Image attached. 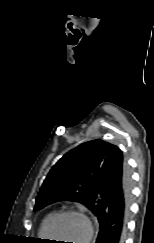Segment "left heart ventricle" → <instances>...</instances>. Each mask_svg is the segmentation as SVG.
<instances>
[{
    "label": "left heart ventricle",
    "instance_id": "1",
    "mask_svg": "<svg viewBox=\"0 0 154 243\" xmlns=\"http://www.w3.org/2000/svg\"><path fill=\"white\" fill-rule=\"evenodd\" d=\"M86 233L84 220L77 216H64L53 225L51 235L58 239H71L72 243H82ZM64 243V241H58ZM66 242V241H65Z\"/></svg>",
    "mask_w": 154,
    "mask_h": 243
}]
</instances>
